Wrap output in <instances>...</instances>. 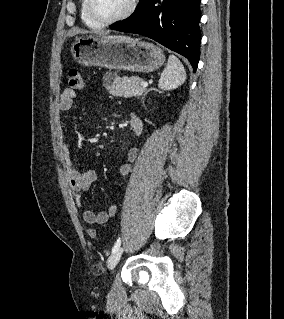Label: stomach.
Segmentation results:
<instances>
[{
	"mask_svg": "<svg viewBox=\"0 0 284 319\" xmlns=\"http://www.w3.org/2000/svg\"><path fill=\"white\" fill-rule=\"evenodd\" d=\"M71 54L75 61L84 66L139 73L153 72L165 61L162 49L153 43L98 36L77 38L72 44Z\"/></svg>",
	"mask_w": 284,
	"mask_h": 319,
	"instance_id": "stomach-1",
	"label": "stomach"
}]
</instances>
